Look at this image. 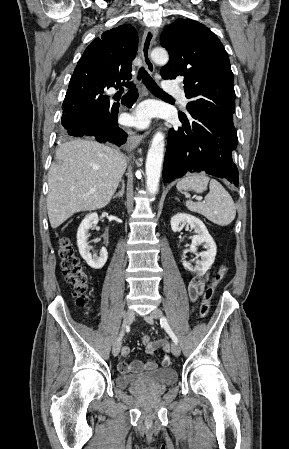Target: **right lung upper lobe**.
<instances>
[{
    "label": "right lung upper lobe",
    "mask_w": 289,
    "mask_h": 449,
    "mask_svg": "<svg viewBox=\"0 0 289 449\" xmlns=\"http://www.w3.org/2000/svg\"><path fill=\"white\" fill-rule=\"evenodd\" d=\"M137 47V32L131 25L124 24L105 31L86 48L72 76L114 87L126 85L125 80L132 77L131 63Z\"/></svg>",
    "instance_id": "cb5924a9"
}]
</instances>
